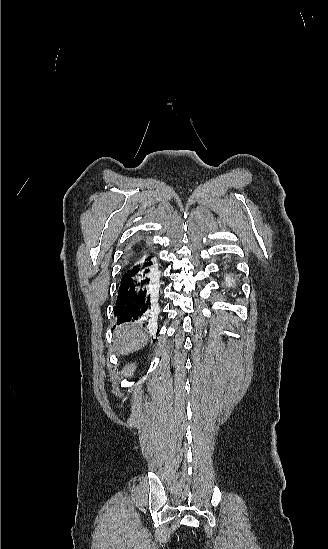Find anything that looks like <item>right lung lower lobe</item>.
Wrapping results in <instances>:
<instances>
[{"label": "right lung lower lobe", "mask_w": 328, "mask_h": 549, "mask_svg": "<svg viewBox=\"0 0 328 549\" xmlns=\"http://www.w3.org/2000/svg\"><path fill=\"white\" fill-rule=\"evenodd\" d=\"M134 249L128 251V260ZM135 263L126 265L118 289L115 316L117 323L138 320L144 325L150 322L148 311L151 305V292L158 287V266L152 256L139 258ZM159 328L157 330V334Z\"/></svg>", "instance_id": "98d812e1"}]
</instances>
